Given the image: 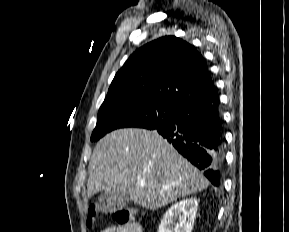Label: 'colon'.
<instances>
[{
	"label": "colon",
	"mask_w": 289,
	"mask_h": 232,
	"mask_svg": "<svg viewBox=\"0 0 289 232\" xmlns=\"http://www.w3.org/2000/svg\"><path fill=\"white\" fill-rule=\"evenodd\" d=\"M97 210L95 205H90L88 209L87 225L91 227L94 222ZM113 220L118 226H124L131 222L133 218V212L130 209H119L113 212Z\"/></svg>",
	"instance_id": "obj_1"
}]
</instances>
